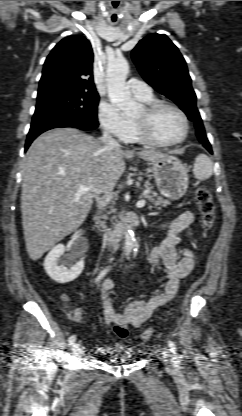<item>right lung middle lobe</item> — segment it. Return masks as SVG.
<instances>
[{"label": "right lung middle lobe", "instance_id": "obj_1", "mask_svg": "<svg viewBox=\"0 0 242 416\" xmlns=\"http://www.w3.org/2000/svg\"><path fill=\"white\" fill-rule=\"evenodd\" d=\"M98 93L59 89L51 93L38 95L32 124L44 119L68 118L98 127Z\"/></svg>", "mask_w": 242, "mask_h": 416}]
</instances>
